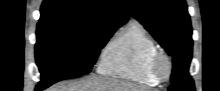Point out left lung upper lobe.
I'll list each match as a JSON object with an SVG mask.
<instances>
[{"label":"left lung upper lobe","mask_w":220,"mask_h":91,"mask_svg":"<svg viewBox=\"0 0 220 91\" xmlns=\"http://www.w3.org/2000/svg\"><path fill=\"white\" fill-rule=\"evenodd\" d=\"M123 3L172 56V85L169 91H195L188 73L193 40L185 0H123Z\"/></svg>","instance_id":"5c2ea615"}]
</instances>
